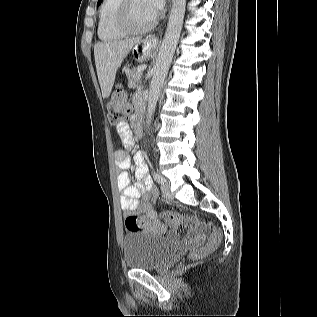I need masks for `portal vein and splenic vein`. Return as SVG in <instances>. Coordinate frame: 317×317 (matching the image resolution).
Listing matches in <instances>:
<instances>
[{
  "label": "portal vein and splenic vein",
  "instance_id": "1",
  "mask_svg": "<svg viewBox=\"0 0 317 317\" xmlns=\"http://www.w3.org/2000/svg\"><path fill=\"white\" fill-rule=\"evenodd\" d=\"M144 69H146L145 64L138 66V72L142 73V71H144Z\"/></svg>",
  "mask_w": 317,
  "mask_h": 317
}]
</instances>
